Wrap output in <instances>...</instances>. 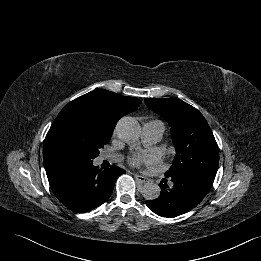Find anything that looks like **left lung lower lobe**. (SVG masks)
<instances>
[{
    "label": "left lung lower lobe",
    "mask_w": 261,
    "mask_h": 261,
    "mask_svg": "<svg viewBox=\"0 0 261 261\" xmlns=\"http://www.w3.org/2000/svg\"><path fill=\"white\" fill-rule=\"evenodd\" d=\"M170 178L174 183L172 188L166 184L167 179L160 183V196L151 201H146V205L155 214L173 218L184 214L194 208L210 191L214 179L208 175L185 172L172 176Z\"/></svg>",
    "instance_id": "0a47b994"
}]
</instances>
